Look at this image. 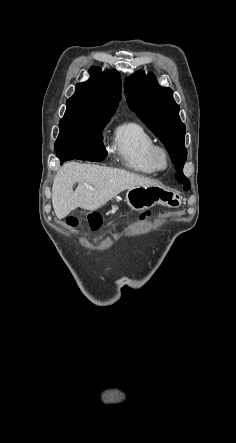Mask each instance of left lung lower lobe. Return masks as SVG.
Returning a JSON list of instances; mask_svg holds the SVG:
<instances>
[{
  "label": "left lung lower lobe",
  "instance_id": "left-lung-lower-lobe-1",
  "mask_svg": "<svg viewBox=\"0 0 236 443\" xmlns=\"http://www.w3.org/2000/svg\"><path fill=\"white\" fill-rule=\"evenodd\" d=\"M176 179L179 182H181L182 184H184V190H186V191L189 190V188H190L189 179L183 175L182 171L177 172Z\"/></svg>",
  "mask_w": 236,
  "mask_h": 443
}]
</instances>
